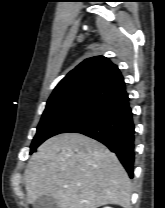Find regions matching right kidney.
I'll return each instance as SVG.
<instances>
[{
    "label": "right kidney",
    "mask_w": 165,
    "mask_h": 208,
    "mask_svg": "<svg viewBox=\"0 0 165 208\" xmlns=\"http://www.w3.org/2000/svg\"><path fill=\"white\" fill-rule=\"evenodd\" d=\"M104 208H112V207H104Z\"/></svg>",
    "instance_id": "ca27d5eb"
}]
</instances>
